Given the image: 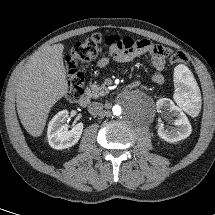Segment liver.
<instances>
[{
  "instance_id": "1",
  "label": "liver",
  "mask_w": 215,
  "mask_h": 215,
  "mask_svg": "<svg viewBox=\"0 0 215 215\" xmlns=\"http://www.w3.org/2000/svg\"><path fill=\"white\" fill-rule=\"evenodd\" d=\"M63 50V44L41 48L14 76L18 116L33 137L41 136L51 108L68 92Z\"/></svg>"
}]
</instances>
